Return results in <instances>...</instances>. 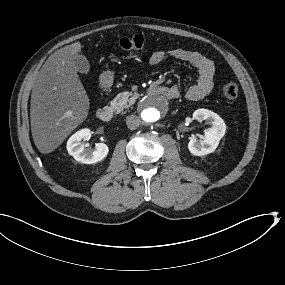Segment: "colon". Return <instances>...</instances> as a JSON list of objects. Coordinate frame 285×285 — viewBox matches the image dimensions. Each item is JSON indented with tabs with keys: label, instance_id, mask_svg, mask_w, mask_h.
<instances>
[{
	"label": "colon",
	"instance_id": "obj_1",
	"mask_svg": "<svg viewBox=\"0 0 285 285\" xmlns=\"http://www.w3.org/2000/svg\"><path fill=\"white\" fill-rule=\"evenodd\" d=\"M125 51L141 50L145 47V40L141 35H134L130 37H123L114 43H110ZM239 93V87L236 82L230 81L224 84L222 89L223 97L226 100H235Z\"/></svg>",
	"mask_w": 285,
	"mask_h": 285
}]
</instances>
